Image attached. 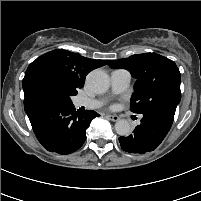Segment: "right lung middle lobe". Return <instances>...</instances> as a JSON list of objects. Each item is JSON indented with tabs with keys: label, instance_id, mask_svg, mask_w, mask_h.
Masks as SVG:
<instances>
[{
	"label": "right lung middle lobe",
	"instance_id": "obj_1",
	"mask_svg": "<svg viewBox=\"0 0 201 201\" xmlns=\"http://www.w3.org/2000/svg\"><path fill=\"white\" fill-rule=\"evenodd\" d=\"M39 95L52 98L63 103H72L70 97L77 92L68 88L53 76L42 77L36 86Z\"/></svg>",
	"mask_w": 201,
	"mask_h": 201
}]
</instances>
